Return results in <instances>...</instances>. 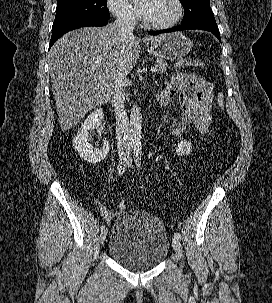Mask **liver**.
Wrapping results in <instances>:
<instances>
[{"label":"liver","mask_w":272,"mask_h":303,"mask_svg":"<svg viewBox=\"0 0 272 303\" xmlns=\"http://www.w3.org/2000/svg\"><path fill=\"white\" fill-rule=\"evenodd\" d=\"M166 35L146 36L153 44ZM139 38H123L114 24L84 27L63 35L49 52L50 75L58 120L66 131L113 94L117 63L128 75L139 58Z\"/></svg>","instance_id":"obj_1"}]
</instances>
